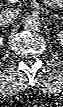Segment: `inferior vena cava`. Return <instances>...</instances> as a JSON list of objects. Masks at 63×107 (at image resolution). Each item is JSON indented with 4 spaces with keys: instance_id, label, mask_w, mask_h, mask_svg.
Returning a JSON list of instances; mask_svg holds the SVG:
<instances>
[{
    "instance_id": "1",
    "label": "inferior vena cava",
    "mask_w": 63,
    "mask_h": 107,
    "mask_svg": "<svg viewBox=\"0 0 63 107\" xmlns=\"http://www.w3.org/2000/svg\"><path fill=\"white\" fill-rule=\"evenodd\" d=\"M18 17V11L10 8L3 9L0 12V25L11 24Z\"/></svg>"
}]
</instances>
